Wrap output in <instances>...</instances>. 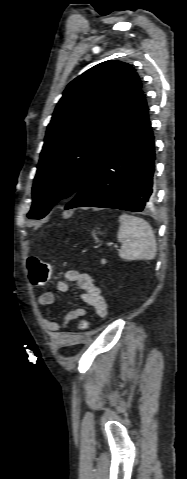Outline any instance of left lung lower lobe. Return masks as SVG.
<instances>
[{
    "label": "left lung lower lobe",
    "mask_w": 187,
    "mask_h": 479,
    "mask_svg": "<svg viewBox=\"0 0 187 479\" xmlns=\"http://www.w3.org/2000/svg\"><path fill=\"white\" fill-rule=\"evenodd\" d=\"M154 159V136L141 87L115 143L65 209L103 207L141 212L153 196Z\"/></svg>",
    "instance_id": "obj_1"
}]
</instances>
